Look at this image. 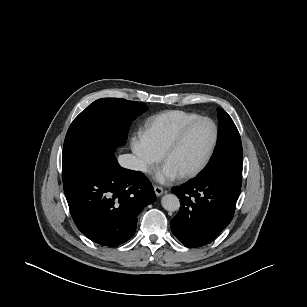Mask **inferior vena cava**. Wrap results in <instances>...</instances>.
Here are the masks:
<instances>
[{
  "label": "inferior vena cava",
  "mask_w": 307,
  "mask_h": 307,
  "mask_svg": "<svg viewBox=\"0 0 307 307\" xmlns=\"http://www.w3.org/2000/svg\"><path fill=\"white\" fill-rule=\"evenodd\" d=\"M118 161L122 167L127 169L143 171V172L147 170L146 163L141 159H139L138 157L131 154L121 155L118 158Z\"/></svg>",
  "instance_id": "602c4592"
}]
</instances>
